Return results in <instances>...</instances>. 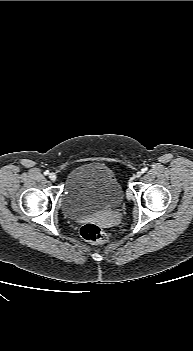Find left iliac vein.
Listing matches in <instances>:
<instances>
[{"instance_id": "left-iliac-vein-1", "label": "left iliac vein", "mask_w": 193, "mask_h": 351, "mask_svg": "<svg viewBox=\"0 0 193 351\" xmlns=\"http://www.w3.org/2000/svg\"><path fill=\"white\" fill-rule=\"evenodd\" d=\"M141 175H142V172H141V171H138V172L136 173V177H137V178L141 177Z\"/></svg>"}]
</instances>
